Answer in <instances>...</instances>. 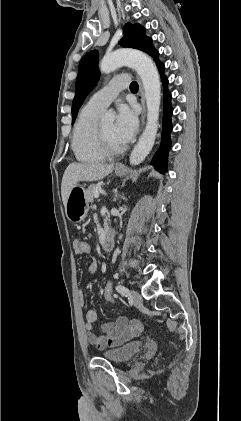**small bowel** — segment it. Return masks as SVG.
Instances as JSON below:
<instances>
[{
    "label": "small bowel",
    "mask_w": 241,
    "mask_h": 421,
    "mask_svg": "<svg viewBox=\"0 0 241 421\" xmlns=\"http://www.w3.org/2000/svg\"><path fill=\"white\" fill-rule=\"evenodd\" d=\"M78 240L74 242L76 247ZM98 263L93 259L88 267L89 273L96 272ZM79 301L84 302V294L79 292ZM97 320V312L88 310L85 314V328L88 330L87 338L90 344L98 349L119 346L137 336L142 330V324L138 320H128L124 316L118 317L115 322L104 324L101 327V334L91 331L93 324Z\"/></svg>",
    "instance_id": "small-bowel-1"
}]
</instances>
